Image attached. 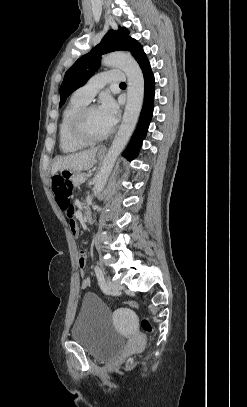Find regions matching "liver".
Returning <instances> with one entry per match:
<instances>
[{
  "instance_id": "obj_1",
  "label": "liver",
  "mask_w": 247,
  "mask_h": 407,
  "mask_svg": "<svg viewBox=\"0 0 247 407\" xmlns=\"http://www.w3.org/2000/svg\"><path fill=\"white\" fill-rule=\"evenodd\" d=\"M97 151L98 148H92L86 151L59 157L52 165L51 174L54 175L61 170H69L72 172L89 170L95 164Z\"/></svg>"
}]
</instances>
